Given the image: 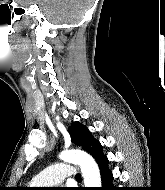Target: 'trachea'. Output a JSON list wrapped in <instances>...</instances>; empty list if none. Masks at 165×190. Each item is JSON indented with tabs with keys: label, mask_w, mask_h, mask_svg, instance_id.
Listing matches in <instances>:
<instances>
[{
	"label": "trachea",
	"mask_w": 165,
	"mask_h": 190,
	"mask_svg": "<svg viewBox=\"0 0 165 190\" xmlns=\"http://www.w3.org/2000/svg\"><path fill=\"white\" fill-rule=\"evenodd\" d=\"M76 179H81V175H80V174H77V175H76Z\"/></svg>",
	"instance_id": "obj_1"
}]
</instances>
